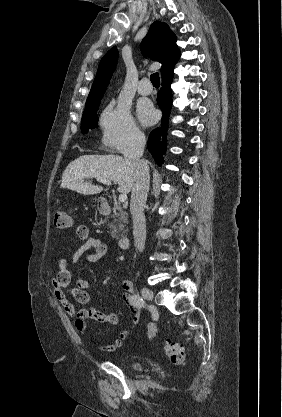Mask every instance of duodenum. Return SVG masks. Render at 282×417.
Segmentation results:
<instances>
[{"instance_id": "duodenum-1", "label": "duodenum", "mask_w": 282, "mask_h": 417, "mask_svg": "<svg viewBox=\"0 0 282 417\" xmlns=\"http://www.w3.org/2000/svg\"><path fill=\"white\" fill-rule=\"evenodd\" d=\"M100 212L104 214H110L111 208L107 202H102ZM130 237L127 234L121 235L119 238V246L125 250L129 246Z\"/></svg>"}]
</instances>
